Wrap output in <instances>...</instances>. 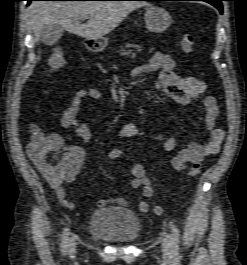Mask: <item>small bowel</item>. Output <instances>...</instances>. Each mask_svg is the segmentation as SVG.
<instances>
[{"label":"small bowel","instance_id":"obj_1","mask_svg":"<svg viewBox=\"0 0 247 265\" xmlns=\"http://www.w3.org/2000/svg\"><path fill=\"white\" fill-rule=\"evenodd\" d=\"M175 66L176 62L171 55L157 52L147 65L136 68L133 74L156 73L155 88L164 92L179 105L189 106L193 102L201 100L205 113V126L209 131L203 143L190 141L185 147L179 148L178 139L173 135L157 134L153 137L165 151L177 150V154L172 160V165L176 170H184L188 163L200 162L206 156L218 153L225 134L221 128L215 126L219 115V106L216 98L211 95L203 96L207 90L206 83L193 76L179 75L174 71ZM101 96L102 93L97 88L79 90L72 98L69 107L63 112L61 126L66 129H73L76 136L84 142H88L91 139V131L88 124L80 120L81 106L85 98L98 100ZM139 134L140 130L134 123H125L119 129V137L122 139L134 138ZM53 135L62 143L59 135ZM63 150L71 159V167L67 174L61 178H54L45 171L42 170V172L62 206L69 210H74L76 204L68 199L64 184L72 182L79 174L85 160V151L79 146H67ZM130 173V185L133 188H140L143 196L147 200L151 199L154 195V189L150 179L146 175L144 166L141 163H133L130 168ZM147 200L140 201L138 204V209L142 213L149 210ZM110 202H115L121 206L128 204L124 198L113 197L100 199L97 205L103 208Z\"/></svg>","mask_w":247,"mask_h":265}]
</instances>
